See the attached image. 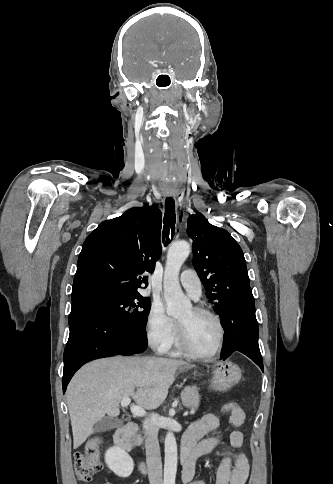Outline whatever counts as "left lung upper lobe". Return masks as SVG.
<instances>
[{
    "label": "left lung upper lobe",
    "instance_id": "5c2ea615",
    "mask_svg": "<svg viewBox=\"0 0 333 484\" xmlns=\"http://www.w3.org/2000/svg\"><path fill=\"white\" fill-rule=\"evenodd\" d=\"M187 234L193 240V265L219 315L227 300L249 288L243 251L228 231L211 225L201 214L190 215Z\"/></svg>",
    "mask_w": 333,
    "mask_h": 484
}]
</instances>
